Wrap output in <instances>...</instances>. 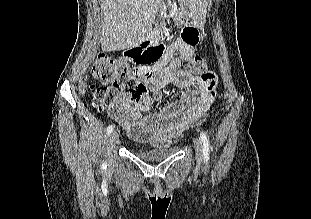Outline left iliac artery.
Returning a JSON list of instances; mask_svg holds the SVG:
<instances>
[{
  "mask_svg": "<svg viewBox=\"0 0 311 219\" xmlns=\"http://www.w3.org/2000/svg\"><path fill=\"white\" fill-rule=\"evenodd\" d=\"M200 138H201V144H202V151H203V157L206 162L209 160V154H210V144L209 140L207 138V135L205 132L201 131L200 133Z\"/></svg>",
  "mask_w": 311,
  "mask_h": 219,
  "instance_id": "44dca946",
  "label": "left iliac artery"
}]
</instances>
